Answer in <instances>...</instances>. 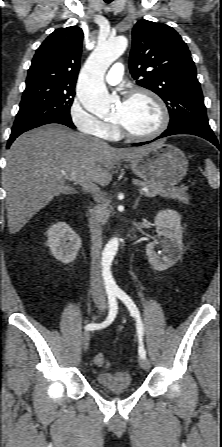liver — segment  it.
<instances>
[{"label": "liver", "instance_id": "6515ba94", "mask_svg": "<svg viewBox=\"0 0 222 447\" xmlns=\"http://www.w3.org/2000/svg\"><path fill=\"white\" fill-rule=\"evenodd\" d=\"M145 149L114 148L57 124L22 134L7 152L3 174L9 232H19L60 194L77 193L65 185L66 180L83 181L86 189H95L96 184L106 186L116 162L135 158Z\"/></svg>", "mask_w": 222, "mask_h": 447}]
</instances>
